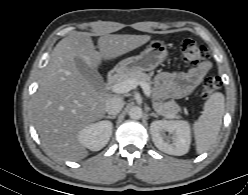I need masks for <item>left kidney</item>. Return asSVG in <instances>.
<instances>
[{"instance_id": "obj_1", "label": "left kidney", "mask_w": 248, "mask_h": 195, "mask_svg": "<svg viewBox=\"0 0 248 195\" xmlns=\"http://www.w3.org/2000/svg\"><path fill=\"white\" fill-rule=\"evenodd\" d=\"M155 146L170 155L182 156L189 151L191 144L190 124L184 120H157L150 125ZM166 132L172 134L166 136Z\"/></svg>"}]
</instances>
